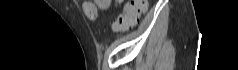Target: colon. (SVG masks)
Returning a JSON list of instances; mask_svg holds the SVG:
<instances>
[{"mask_svg":"<svg viewBox=\"0 0 238 70\" xmlns=\"http://www.w3.org/2000/svg\"><path fill=\"white\" fill-rule=\"evenodd\" d=\"M146 8L147 0L128 1L123 14L115 22V29L121 31L131 30L138 23L140 14ZM87 12L91 17L98 16V11L93 6H89Z\"/></svg>","mask_w":238,"mask_h":70,"instance_id":"colon-1","label":"colon"}]
</instances>
